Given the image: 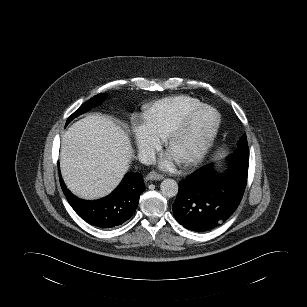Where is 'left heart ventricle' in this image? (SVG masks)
<instances>
[{
  "instance_id": "obj_1",
  "label": "left heart ventricle",
  "mask_w": 307,
  "mask_h": 307,
  "mask_svg": "<svg viewBox=\"0 0 307 307\" xmlns=\"http://www.w3.org/2000/svg\"><path fill=\"white\" fill-rule=\"evenodd\" d=\"M215 122V115L210 110L197 112L190 120L183 135L177 139L169 150V155L176 161L187 157L204 139Z\"/></svg>"
}]
</instances>
